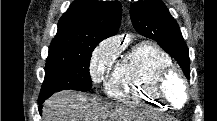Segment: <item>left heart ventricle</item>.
Here are the masks:
<instances>
[{
	"instance_id": "obj_1",
	"label": "left heart ventricle",
	"mask_w": 217,
	"mask_h": 121,
	"mask_svg": "<svg viewBox=\"0 0 217 121\" xmlns=\"http://www.w3.org/2000/svg\"><path fill=\"white\" fill-rule=\"evenodd\" d=\"M169 92L172 96L178 99L181 93L180 85L177 82H173L171 86L169 87Z\"/></svg>"
}]
</instances>
